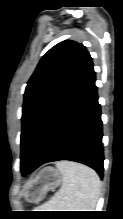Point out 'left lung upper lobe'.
<instances>
[{
  "mask_svg": "<svg viewBox=\"0 0 123 219\" xmlns=\"http://www.w3.org/2000/svg\"><path fill=\"white\" fill-rule=\"evenodd\" d=\"M92 67L86 48L72 40L58 43L42 57L24 94L21 169L28 164L55 111Z\"/></svg>",
  "mask_w": 123,
  "mask_h": 219,
  "instance_id": "left-lung-upper-lobe-1",
  "label": "left lung upper lobe"
}]
</instances>
